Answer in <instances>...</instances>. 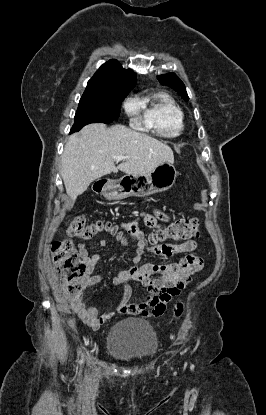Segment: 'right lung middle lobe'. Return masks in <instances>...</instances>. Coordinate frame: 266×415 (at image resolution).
I'll list each match as a JSON object with an SVG mask.
<instances>
[{
  "label": "right lung middle lobe",
  "instance_id": "right-lung-middle-lobe-1",
  "mask_svg": "<svg viewBox=\"0 0 266 415\" xmlns=\"http://www.w3.org/2000/svg\"><path fill=\"white\" fill-rule=\"evenodd\" d=\"M126 93L113 96H86L80 99L78 109L75 114V122L70 133L81 130L90 123H110L118 119L122 100Z\"/></svg>",
  "mask_w": 266,
  "mask_h": 415
}]
</instances>
